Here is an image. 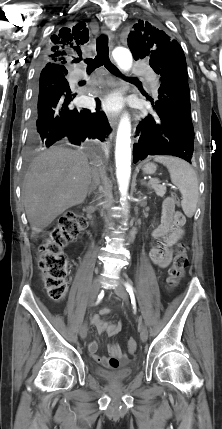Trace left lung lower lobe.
<instances>
[{
  "mask_svg": "<svg viewBox=\"0 0 222 429\" xmlns=\"http://www.w3.org/2000/svg\"><path fill=\"white\" fill-rule=\"evenodd\" d=\"M160 75L158 101L154 105L147 97L157 115H148L139 122L133 161L136 163L148 155H172L191 163L195 134L188 78L174 69H163Z\"/></svg>",
  "mask_w": 222,
  "mask_h": 429,
  "instance_id": "left-lung-lower-lobe-1",
  "label": "left lung lower lobe"
}]
</instances>
